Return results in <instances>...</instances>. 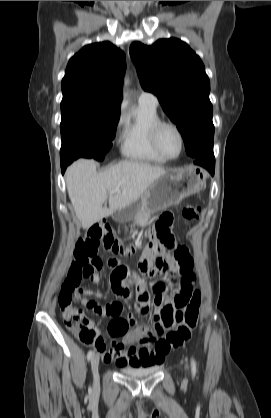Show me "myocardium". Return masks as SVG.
<instances>
[{
    "label": "myocardium",
    "instance_id": "f54148a6",
    "mask_svg": "<svg viewBox=\"0 0 271 418\" xmlns=\"http://www.w3.org/2000/svg\"><path fill=\"white\" fill-rule=\"evenodd\" d=\"M164 128H171V129H173L176 132V134H177V136L179 138L180 148H179L178 154L175 155V156H169V155H167L163 151V149H162V147L160 145L159 137H160L161 131ZM151 142H152V145H153V148L155 149V151L161 157H163L166 160H175V159L179 158L181 156V154L183 153V150H184V135H183L181 129L178 127V125H176L175 123L170 122V121H162V120H160V121H158L153 126V128L151 130Z\"/></svg>",
    "mask_w": 271,
    "mask_h": 418
}]
</instances>
